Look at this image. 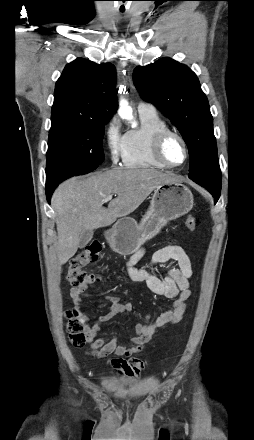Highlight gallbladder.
I'll return each instance as SVG.
<instances>
[{"instance_id": "gallbladder-1", "label": "gallbladder", "mask_w": 254, "mask_h": 440, "mask_svg": "<svg viewBox=\"0 0 254 440\" xmlns=\"http://www.w3.org/2000/svg\"><path fill=\"white\" fill-rule=\"evenodd\" d=\"M93 237V231L92 230H85L84 232H82L81 237H80V243H79V247H85L92 239Z\"/></svg>"}]
</instances>
